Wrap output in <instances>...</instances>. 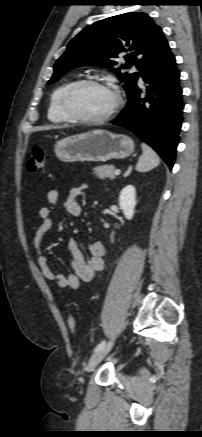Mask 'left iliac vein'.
<instances>
[{
    "label": "left iliac vein",
    "instance_id": "1",
    "mask_svg": "<svg viewBox=\"0 0 202 437\" xmlns=\"http://www.w3.org/2000/svg\"><path fill=\"white\" fill-rule=\"evenodd\" d=\"M113 341L108 342L102 349L96 351L89 359L86 371H92L100 361L110 352Z\"/></svg>",
    "mask_w": 202,
    "mask_h": 437
}]
</instances>
